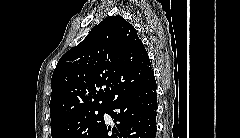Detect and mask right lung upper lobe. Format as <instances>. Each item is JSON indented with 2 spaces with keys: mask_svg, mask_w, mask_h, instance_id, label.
Instances as JSON below:
<instances>
[{
  "mask_svg": "<svg viewBox=\"0 0 240 138\" xmlns=\"http://www.w3.org/2000/svg\"><path fill=\"white\" fill-rule=\"evenodd\" d=\"M152 74L135 28L121 16L107 17L58 61L51 79V124L89 108L108 107Z\"/></svg>",
  "mask_w": 240,
  "mask_h": 138,
  "instance_id": "cb5924a9",
  "label": "right lung upper lobe"
}]
</instances>
